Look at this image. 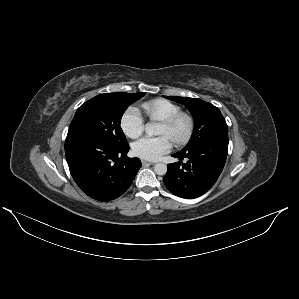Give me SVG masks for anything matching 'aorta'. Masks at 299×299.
I'll use <instances>...</instances> for the list:
<instances>
[{
	"instance_id": "aorta-1",
	"label": "aorta",
	"mask_w": 299,
	"mask_h": 299,
	"mask_svg": "<svg viewBox=\"0 0 299 299\" xmlns=\"http://www.w3.org/2000/svg\"><path fill=\"white\" fill-rule=\"evenodd\" d=\"M145 131L148 135L159 134L157 125L155 123H147L145 126ZM154 171L158 175H165L167 173V165L164 163H156L154 165Z\"/></svg>"
}]
</instances>
